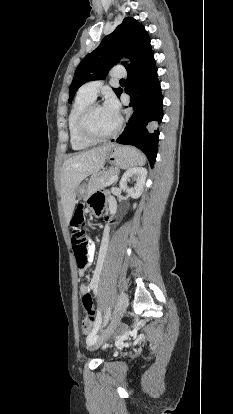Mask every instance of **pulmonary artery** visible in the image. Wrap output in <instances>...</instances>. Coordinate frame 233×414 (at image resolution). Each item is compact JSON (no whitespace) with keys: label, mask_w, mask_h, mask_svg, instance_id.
Masks as SVG:
<instances>
[{"label":"pulmonary artery","mask_w":233,"mask_h":414,"mask_svg":"<svg viewBox=\"0 0 233 414\" xmlns=\"http://www.w3.org/2000/svg\"><path fill=\"white\" fill-rule=\"evenodd\" d=\"M110 76L115 79L123 78L126 76V71L122 67H115L112 69ZM102 85H103V82L100 80L90 81V82L85 83L81 87L80 91H82L83 93H85L86 95L94 99L97 96Z\"/></svg>","instance_id":"pulmonary-artery-1"}]
</instances>
